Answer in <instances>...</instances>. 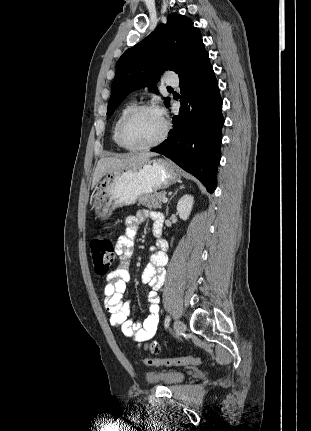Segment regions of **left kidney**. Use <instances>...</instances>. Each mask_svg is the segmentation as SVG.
<instances>
[{
    "label": "left kidney",
    "mask_w": 311,
    "mask_h": 431,
    "mask_svg": "<svg viewBox=\"0 0 311 431\" xmlns=\"http://www.w3.org/2000/svg\"><path fill=\"white\" fill-rule=\"evenodd\" d=\"M193 204V196H189V194H185V196H182V198H180L177 204L178 216L181 217V219H188L192 212Z\"/></svg>",
    "instance_id": "1"
}]
</instances>
